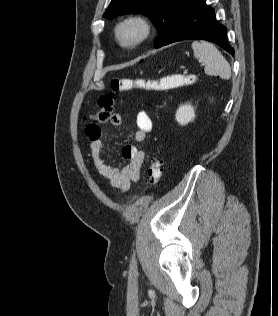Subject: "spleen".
Masks as SVG:
<instances>
[{
	"mask_svg": "<svg viewBox=\"0 0 278 316\" xmlns=\"http://www.w3.org/2000/svg\"><path fill=\"white\" fill-rule=\"evenodd\" d=\"M192 48L194 56L205 64V73L208 75H218L223 79L231 76L230 64L226 61L221 52L211 43L193 42Z\"/></svg>",
	"mask_w": 278,
	"mask_h": 316,
	"instance_id": "3e777b00",
	"label": "spleen"
}]
</instances>
